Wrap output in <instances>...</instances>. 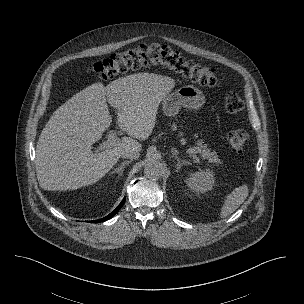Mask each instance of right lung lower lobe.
<instances>
[{"label": "right lung lower lobe", "instance_id": "right-lung-lower-lobe-1", "mask_svg": "<svg viewBox=\"0 0 304 304\" xmlns=\"http://www.w3.org/2000/svg\"><path fill=\"white\" fill-rule=\"evenodd\" d=\"M124 202H125V198L121 201V203L117 206V208H115V210H113V212H111L108 216L98 219V220L90 221V222L100 223V222H104V221L112 218L120 210V208L123 206Z\"/></svg>", "mask_w": 304, "mask_h": 304}]
</instances>
